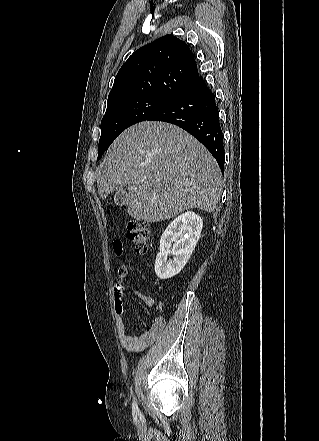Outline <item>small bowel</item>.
<instances>
[{"label":"small bowel","mask_w":319,"mask_h":441,"mask_svg":"<svg viewBox=\"0 0 319 441\" xmlns=\"http://www.w3.org/2000/svg\"><path fill=\"white\" fill-rule=\"evenodd\" d=\"M114 252L120 256L123 252L122 244L114 246ZM128 276V271L125 266L119 267L117 271V282L113 286V304L115 311L117 336L121 345L129 350L141 351L152 345L163 333L166 320L163 317H156L147 331L140 336H133L130 334L124 322V281ZM134 295L145 305L153 306L155 301L151 296H148L136 289H133Z\"/></svg>","instance_id":"1"}]
</instances>
